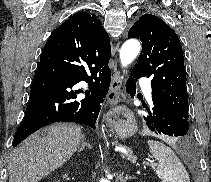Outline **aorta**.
Listing matches in <instances>:
<instances>
[{
    "label": "aorta",
    "instance_id": "obj_1",
    "mask_svg": "<svg viewBox=\"0 0 211 182\" xmlns=\"http://www.w3.org/2000/svg\"><path fill=\"white\" fill-rule=\"evenodd\" d=\"M141 45L138 40H127L120 49V61L123 67L128 66L140 52ZM100 182H110L107 179H101Z\"/></svg>",
    "mask_w": 211,
    "mask_h": 182
}]
</instances>
